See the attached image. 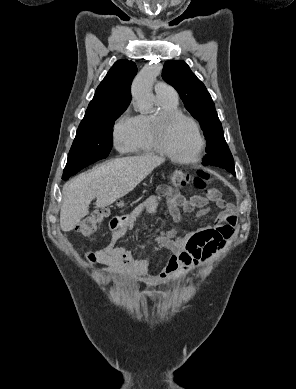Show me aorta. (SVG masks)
Wrapping results in <instances>:
<instances>
[{"label":"aorta","mask_w":296,"mask_h":389,"mask_svg":"<svg viewBox=\"0 0 296 389\" xmlns=\"http://www.w3.org/2000/svg\"><path fill=\"white\" fill-rule=\"evenodd\" d=\"M161 69L157 64L146 65L136 76L132 84V97L140 105H150L151 89Z\"/></svg>","instance_id":"1"}]
</instances>
